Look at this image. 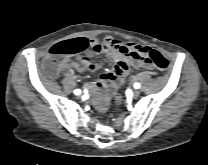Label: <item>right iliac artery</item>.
<instances>
[{
  "instance_id": "obj_1",
  "label": "right iliac artery",
  "mask_w": 208,
  "mask_h": 165,
  "mask_svg": "<svg viewBox=\"0 0 208 165\" xmlns=\"http://www.w3.org/2000/svg\"><path fill=\"white\" fill-rule=\"evenodd\" d=\"M74 93H75L76 95H78V94L81 93V91H80L79 89H76V90H74Z\"/></svg>"
}]
</instances>
